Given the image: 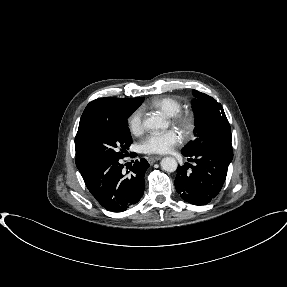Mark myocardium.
<instances>
[{
	"label": "myocardium",
	"mask_w": 287,
	"mask_h": 287,
	"mask_svg": "<svg viewBox=\"0 0 287 287\" xmlns=\"http://www.w3.org/2000/svg\"><path fill=\"white\" fill-rule=\"evenodd\" d=\"M172 121L185 134H191L196 124L195 116L191 112H179L172 117Z\"/></svg>",
	"instance_id": "1"
}]
</instances>
